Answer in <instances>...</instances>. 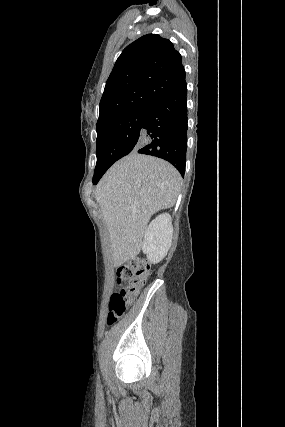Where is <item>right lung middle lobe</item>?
I'll list each match as a JSON object with an SVG mask.
<instances>
[{
	"label": "right lung middle lobe",
	"mask_w": 285,
	"mask_h": 427,
	"mask_svg": "<svg viewBox=\"0 0 285 427\" xmlns=\"http://www.w3.org/2000/svg\"><path fill=\"white\" fill-rule=\"evenodd\" d=\"M145 115L146 108H141L96 126L97 163L94 176L106 172L114 162L136 149Z\"/></svg>",
	"instance_id": "obj_1"
}]
</instances>
